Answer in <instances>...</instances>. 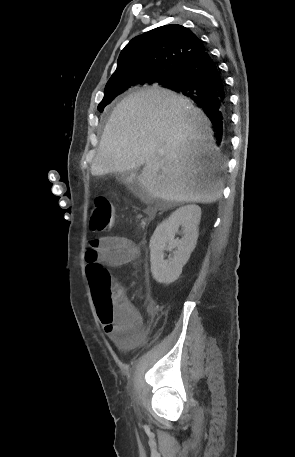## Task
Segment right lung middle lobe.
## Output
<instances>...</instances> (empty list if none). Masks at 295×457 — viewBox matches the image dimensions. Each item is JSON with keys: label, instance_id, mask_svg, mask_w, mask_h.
Instances as JSON below:
<instances>
[{"label": "right lung middle lobe", "instance_id": "right-lung-middle-lobe-1", "mask_svg": "<svg viewBox=\"0 0 295 457\" xmlns=\"http://www.w3.org/2000/svg\"><path fill=\"white\" fill-rule=\"evenodd\" d=\"M176 77V76H175ZM175 77H170L168 78L166 81H165V84L167 83H171ZM131 83H124V84H121V85H117V86H111L110 88H107L105 89L104 91V98L103 100L100 102V104L98 105V110L100 112L103 111L104 107L106 105H108L109 103H111V101L116 97L118 96L119 94L123 93L127 88L131 87ZM164 87V85L162 86Z\"/></svg>", "mask_w": 295, "mask_h": 457}]
</instances>
